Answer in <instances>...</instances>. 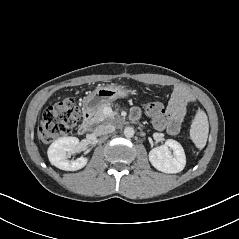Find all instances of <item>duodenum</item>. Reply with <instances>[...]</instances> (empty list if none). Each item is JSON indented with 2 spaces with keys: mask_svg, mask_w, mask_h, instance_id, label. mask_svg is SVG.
<instances>
[{
  "mask_svg": "<svg viewBox=\"0 0 239 239\" xmlns=\"http://www.w3.org/2000/svg\"><path fill=\"white\" fill-rule=\"evenodd\" d=\"M92 125L91 122V113L89 111H86L83 116V120L81 124L78 127V134L79 135H84L88 130L90 129Z\"/></svg>",
  "mask_w": 239,
  "mask_h": 239,
  "instance_id": "1",
  "label": "duodenum"
}]
</instances>
